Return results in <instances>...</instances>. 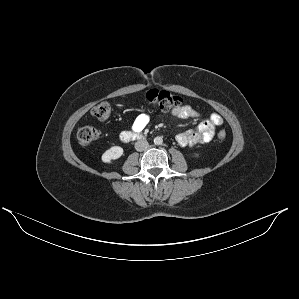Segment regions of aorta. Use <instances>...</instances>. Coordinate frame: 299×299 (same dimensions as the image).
I'll list each match as a JSON object with an SVG mask.
<instances>
[{"label":"aorta","mask_w":299,"mask_h":299,"mask_svg":"<svg viewBox=\"0 0 299 299\" xmlns=\"http://www.w3.org/2000/svg\"><path fill=\"white\" fill-rule=\"evenodd\" d=\"M163 143V139L160 136H157L154 138V144L155 145H161Z\"/></svg>","instance_id":"aorta-1"}]
</instances>
